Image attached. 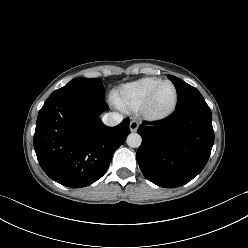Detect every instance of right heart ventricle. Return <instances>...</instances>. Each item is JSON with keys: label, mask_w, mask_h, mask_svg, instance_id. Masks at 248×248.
<instances>
[{"label": "right heart ventricle", "mask_w": 248, "mask_h": 248, "mask_svg": "<svg viewBox=\"0 0 248 248\" xmlns=\"http://www.w3.org/2000/svg\"><path fill=\"white\" fill-rule=\"evenodd\" d=\"M160 81L159 78L145 77L123 84L115 90L114 101L126 111H136L147 93Z\"/></svg>", "instance_id": "e07e8e85"}]
</instances>
